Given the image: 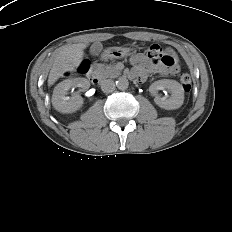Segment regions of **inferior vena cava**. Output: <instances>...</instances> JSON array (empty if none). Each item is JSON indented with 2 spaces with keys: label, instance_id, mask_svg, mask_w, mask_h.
Segmentation results:
<instances>
[{
  "label": "inferior vena cava",
  "instance_id": "1",
  "mask_svg": "<svg viewBox=\"0 0 232 232\" xmlns=\"http://www.w3.org/2000/svg\"><path fill=\"white\" fill-rule=\"evenodd\" d=\"M101 89L104 93H110L115 90V83L112 79L103 80L101 82Z\"/></svg>",
  "mask_w": 232,
  "mask_h": 232
}]
</instances>
